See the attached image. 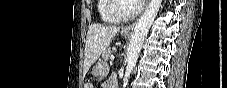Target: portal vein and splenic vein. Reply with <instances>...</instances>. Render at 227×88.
<instances>
[{
	"mask_svg": "<svg viewBox=\"0 0 227 88\" xmlns=\"http://www.w3.org/2000/svg\"><path fill=\"white\" fill-rule=\"evenodd\" d=\"M110 59L111 60H114L115 59V56L114 55H111Z\"/></svg>",
	"mask_w": 227,
	"mask_h": 88,
	"instance_id": "obj_1",
	"label": "portal vein and splenic vein"
}]
</instances>
